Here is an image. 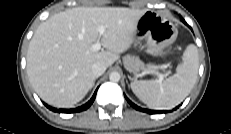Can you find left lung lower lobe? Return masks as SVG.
<instances>
[{"label":"left lung lower lobe","mask_w":231,"mask_h":134,"mask_svg":"<svg viewBox=\"0 0 231 134\" xmlns=\"http://www.w3.org/2000/svg\"><path fill=\"white\" fill-rule=\"evenodd\" d=\"M181 21L186 24L184 19H181ZM125 98L132 107H134L135 109H137L139 111H143V112H146V113H149V114H160V113H166L167 112V111H155V110L143 109V108L138 107L134 103H132L126 96H125ZM177 108H178V106L176 108H174V110H176Z\"/></svg>","instance_id":"left-lung-lower-lobe-1"}]
</instances>
